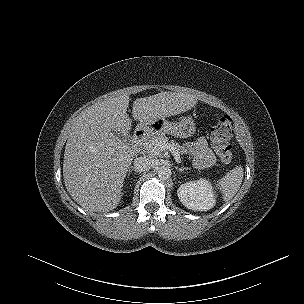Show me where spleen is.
<instances>
[{
  "label": "spleen",
  "mask_w": 304,
  "mask_h": 304,
  "mask_svg": "<svg viewBox=\"0 0 304 304\" xmlns=\"http://www.w3.org/2000/svg\"><path fill=\"white\" fill-rule=\"evenodd\" d=\"M244 175V169L241 166H237L225 175L216 184L220 187L223 197L226 201L232 199L237 191L240 189L242 179Z\"/></svg>",
  "instance_id": "obj_1"
}]
</instances>
